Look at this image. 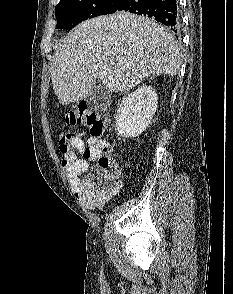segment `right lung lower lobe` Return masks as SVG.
Wrapping results in <instances>:
<instances>
[{
    "instance_id": "1",
    "label": "right lung lower lobe",
    "mask_w": 233,
    "mask_h": 294,
    "mask_svg": "<svg viewBox=\"0 0 233 294\" xmlns=\"http://www.w3.org/2000/svg\"><path fill=\"white\" fill-rule=\"evenodd\" d=\"M123 10L152 17L168 26L174 33H180V16L176 0H124L117 11Z\"/></svg>"
}]
</instances>
